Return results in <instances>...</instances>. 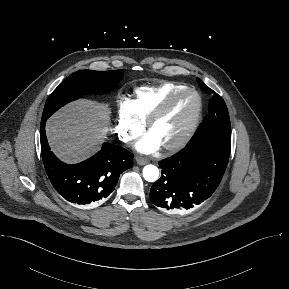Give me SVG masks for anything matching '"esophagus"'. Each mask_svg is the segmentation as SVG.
I'll return each mask as SVG.
<instances>
[{
    "label": "esophagus",
    "instance_id": "esophagus-1",
    "mask_svg": "<svg viewBox=\"0 0 289 289\" xmlns=\"http://www.w3.org/2000/svg\"><path fill=\"white\" fill-rule=\"evenodd\" d=\"M136 163L138 164V165H145V164H147L148 163V160H146L145 158H143V157H136Z\"/></svg>",
    "mask_w": 289,
    "mask_h": 289
}]
</instances>
